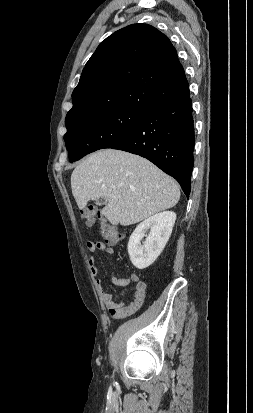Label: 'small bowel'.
<instances>
[{
    "label": "small bowel",
    "instance_id": "small-bowel-1",
    "mask_svg": "<svg viewBox=\"0 0 253 413\" xmlns=\"http://www.w3.org/2000/svg\"><path fill=\"white\" fill-rule=\"evenodd\" d=\"M87 247L90 252L101 251L108 255H113L114 253L111 247L101 241H91L88 243ZM89 267L91 273L94 276H97L99 273L98 263L96 258L93 256L89 258ZM96 282L100 291L102 303L107 307L109 314L115 319H122L134 314L144 303L147 285L136 276H132L131 278L113 276L111 279L112 284L119 287H127L131 284V282H135L133 297L127 303L117 302L112 293L105 291L103 289V281L101 279H97Z\"/></svg>",
    "mask_w": 253,
    "mask_h": 413
}]
</instances>
